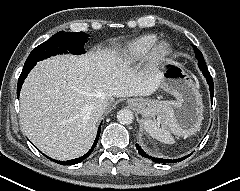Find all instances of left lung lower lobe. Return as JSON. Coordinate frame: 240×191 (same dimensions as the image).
Listing matches in <instances>:
<instances>
[{"instance_id": "1", "label": "left lung lower lobe", "mask_w": 240, "mask_h": 191, "mask_svg": "<svg viewBox=\"0 0 240 191\" xmlns=\"http://www.w3.org/2000/svg\"><path fill=\"white\" fill-rule=\"evenodd\" d=\"M198 65H199V68L200 70L202 71L203 75L205 76L208 84H209V87H210V94H211V100H213V96H214V85H213V80H212V77L207 69V66H206V63L204 60H201V61H198ZM136 148L138 149V153L145 157V158H151L149 155H147L141 148L138 144H136ZM190 156V155H188ZM188 156H185V157H182V158H179V159H161V158H152V160L154 162H157V163H175V162H180L182 160H184L185 158H187Z\"/></svg>"}]
</instances>
